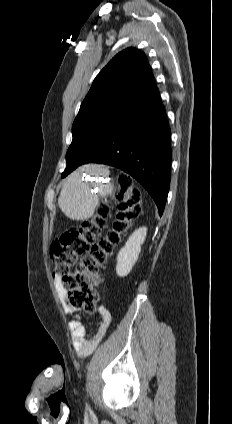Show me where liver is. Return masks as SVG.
Returning a JSON list of instances; mask_svg holds the SVG:
<instances>
[{
    "instance_id": "6515ba94",
    "label": "liver",
    "mask_w": 232,
    "mask_h": 424,
    "mask_svg": "<svg viewBox=\"0 0 232 424\" xmlns=\"http://www.w3.org/2000/svg\"><path fill=\"white\" fill-rule=\"evenodd\" d=\"M83 173L96 176L99 180L108 174V170L99 164H86L67 177L58 198V205L62 212L73 220L91 218L99 205V199L111 195L113 191L111 183L104 185L98 181L88 185L82 179ZM96 187L97 193L94 192Z\"/></svg>"
}]
</instances>
